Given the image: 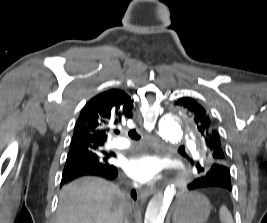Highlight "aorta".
<instances>
[{
    "label": "aorta",
    "instance_id": "762f6f07",
    "mask_svg": "<svg viewBox=\"0 0 267 223\" xmlns=\"http://www.w3.org/2000/svg\"><path fill=\"white\" fill-rule=\"evenodd\" d=\"M159 134L165 140L173 144L180 142L183 136L180 118L176 115L165 116L159 124ZM176 196V187L167 186L164 192H160L150 200L144 223H164L168 208Z\"/></svg>",
    "mask_w": 267,
    "mask_h": 223
}]
</instances>
